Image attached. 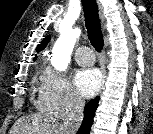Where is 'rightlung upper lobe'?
<instances>
[{"label":"right lung upper lobe","instance_id":"right-lung-upper-lobe-1","mask_svg":"<svg viewBox=\"0 0 153 134\" xmlns=\"http://www.w3.org/2000/svg\"><path fill=\"white\" fill-rule=\"evenodd\" d=\"M49 41H50V36H47L45 39H43V41H41V44H39L37 46L36 51L39 52V51L43 50L47 46ZM35 59H36V57L34 58V60Z\"/></svg>","mask_w":153,"mask_h":134}]
</instances>
